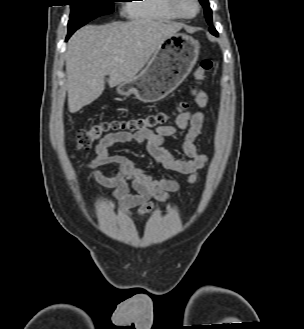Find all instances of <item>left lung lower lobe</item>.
Here are the masks:
<instances>
[{"mask_svg": "<svg viewBox=\"0 0 304 329\" xmlns=\"http://www.w3.org/2000/svg\"><path fill=\"white\" fill-rule=\"evenodd\" d=\"M210 32H211L213 35H215V36L218 35V33H217V31L215 30V28H214L213 30H211Z\"/></svg>", "mask_w": 304, "mask_h": 329, "instance_id": "1", "label": "left lung lower lobe"}]
</instances>
